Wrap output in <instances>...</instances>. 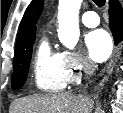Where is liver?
Returning a JSON list of instances; mask_svg holds the SVG:
<instances>
[{
	"instance_id": "liver-1",
	"label": "liver",
	"mask_w": 123,
	"mask_h": 113,
	"mask_svg": "<svg viewBox=\"0 0 123 113\" xmlns=\"http://www.w3.org/2000/svg\"><path fill=\"white\" fill-rule=\"evenodd\" d=\"M92 108L89 97L66 92L20 98L14 101L12 113H90Z\"/></svg>"
}]
</instances>
